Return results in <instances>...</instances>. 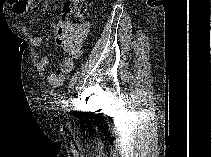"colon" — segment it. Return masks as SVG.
I'll list each match as a JSON object with an SVG mask.
<instances>
[{
  "mask_svg": "<svg viewBox=\"0 0 212 157\" xmlns=\"http://www.w3.org/2000/svg\"><path fill=\"white\" fill-rule=\"evenodd\" d=\"M86 4L79 0H68L63 6V19L68 27L57 37V44L70 50L71 55L78 53L77 43L81 38Z\"/></svg>",
  "mask_w": 212,
  "mask_h": 157,
  "instance_id": "5ec220e1",
  "label": "colon"
}]
</instances>
